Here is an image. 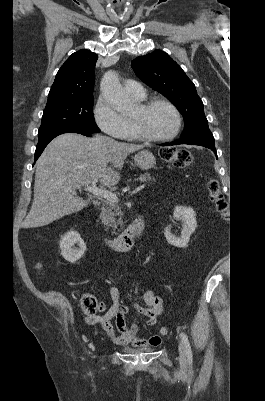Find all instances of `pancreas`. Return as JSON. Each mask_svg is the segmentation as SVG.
Here are the masks:
<instances>
[{"mask_svg":"<svg viewBox=\"0 0 265 401\" xmlns=\"http://www.w3.org/2000/svg\"><path fill=\"white\" fill-rule=\"evenodd\" d=\"M139 178H143V180H155L150 176L149 172H145V174H140ZM116 217H123V213L116 205V203H112V201H106L105 207L101 209L100 219L104 225L107 227H117V225H121L123 223L122 219H116Z\"/></svg>","mask_w":265,"mask_h":401,"instance_id":"1","label":"pancreas"}]
</instances>
